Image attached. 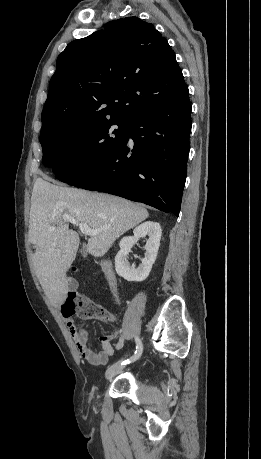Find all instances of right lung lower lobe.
Instances as JSON below:
<instances>
[{
    "label": "right lung lower lobe",
    "instance_id": "obj_1",
    "mask_svg": "<svg viewBox=\"0 0 261 459\" xmlns=\"http://www.w3.org/2000/svg\"><path fill=\"white\" fill-rule=\"evenodd\" d=\"M190 131L191 103L186 85L170 101L133 117L119 149L69 184L142 202L178 216Z\"/></svg>",
    "mask_w": 261,
    "mask_h": 459
}]
</instances>
